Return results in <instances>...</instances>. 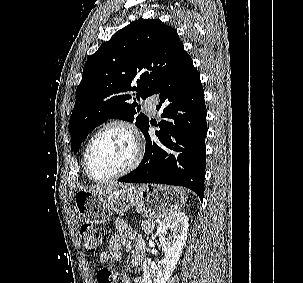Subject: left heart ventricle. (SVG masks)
<instances>
[{"label":"left heart ventricle","mask_w":303,"mask_h":283,"mask_svg":"<svg viewBox=\"0 0 303 283\" xmlns=\"http://www.w3.org/2000/svg\"><path fill=\"white\" fill-rule=\"evenodd\" d=\"M133 155L134 143L129 133L112 127L94 141L89 154L90 169L94 176L104 178L126 167Z\"/></svg>","instance_id":"left-heart-ventricle-1"}]
</instances>
